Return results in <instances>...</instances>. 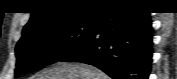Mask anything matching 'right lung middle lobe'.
I'll list each match as a JSON object with an SVG mask.
<instances>
[{
	"instance_id": "obj_1",
	"label": "right lung middle lobe",
	"mask_w": 177,
	"mask_h": 79,
	"mask_svg": "<svg viewBox=\"0 0 177 79\" xmlns=\"http://www.w3.org/2000/svg\"><path fill=\"white\" fill-rule=\"evenodd\" d=\"M94 21L81 19L50 25L22 36L15 49V77L60 61L89 37Z\"/></svg>"
}]
</instances>
